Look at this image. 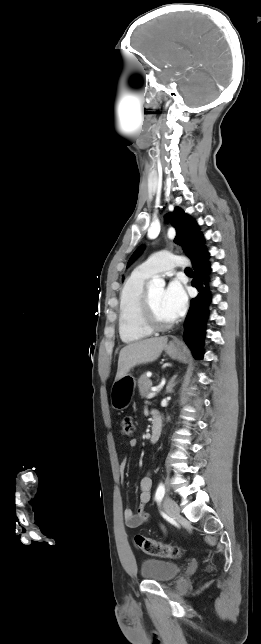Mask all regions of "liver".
I'll return each mask as SVG.
<instances>
[{
  "instance_id": "1",
  "label": "liver",
  "mask_w": 261,
  "mask_h": 644,
  "mask_svg": "<svg viewBox=\"0 0 261 644\" xmlns=\"http://www.w3.org/2000/svg\"><path fill=\"white\" fill-rule=\"evenodd\" d=\"M167 342L168 338L163 336L137 341L123 347L119 353L115 381L126 375L132 367L157 360Z\"/></svg>"
}]
</instances>
